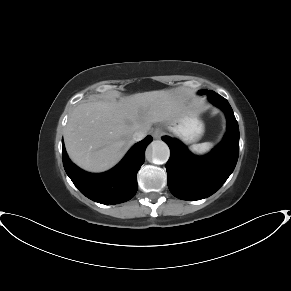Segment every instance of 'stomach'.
Returning <instances> with one entry per match:
<instances>
[{"label":"stomach","mask_w":291,"mask_h":291,"mask_svg":"<svg viewBox=\"0 0 291 291\" xmlns=\"http://www.w3.org/2000/svg\"><path fill=\"white\" fill-rule=\"evenodd\" d=\"M167 128L186 143L197 142L204 134V124L197 112L183 106L181 112L166 123Z\"/></svg>","instance_id":"1"}]
</instances>
